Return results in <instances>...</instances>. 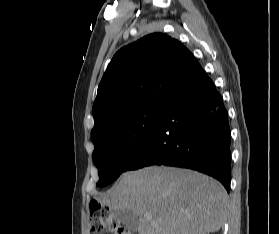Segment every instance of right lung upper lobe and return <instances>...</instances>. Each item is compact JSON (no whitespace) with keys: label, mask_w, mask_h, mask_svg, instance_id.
Instances as JSON below:
<instances>
[{"label":"right lung upper lobe","mask_w":279,"mask_h":234,"mask_svg":"<svg viewBox=\"0 0 279 234\" xmlns=\"http://www.w3.org/2000/svg\"><path fill=\"white\" fill-rule=\"evenodd\" d=\"M202 67L178 40L152 33L120 49L109 63L93 104L98 136L113 119L148 107H165Z\"/></svg>","instance_id":"obj_1"}]
</instances>
